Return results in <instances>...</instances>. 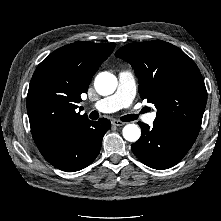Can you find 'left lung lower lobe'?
I'll use <instances>...</instances> for the list:
<instances>
[{
	"label": "left lung lower lobe",
	"mask_w": 221,
	"mask_h": 221,
	"mask_svg": "<svg viewBox=\"0 0 221 221\" xmlns=\"http://www.w3.org/2000/svg\"><path fill=\"white\" fill-rule=\"evenodd\" d=\"M138 124L142 135L131 145V149L142 163L159 170L170 168L181 161L199 132L161 120H155L151 128L141 122Z\"/></svg>",
	"instance_id": "obj_1"
}]
</instances>
